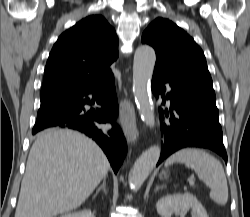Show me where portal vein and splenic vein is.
I'll use <instances>...</instances> for the list:
<instances>
[{
  "label": "portal vein and splenic vein",
  "instance_id": "portal-vein-and-splenic-vein-1",
  "mask_svg": "<svg viewBox=\"0 0 250 217\" xmlns=\"http://www.w3.org/2000/svg\"><path fill=\"white\" fill-rule=\"evenodd\" d=\"M190 185H194V181L193 180H190Z\"/></svg>",
  "mask_w": 250,
  "mask_h": 217
}]
</instances>
